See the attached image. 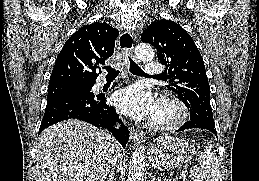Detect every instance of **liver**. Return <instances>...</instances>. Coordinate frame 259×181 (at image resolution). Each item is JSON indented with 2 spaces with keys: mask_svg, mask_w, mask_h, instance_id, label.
<instances>
[{
  "mask_svg": "<svg viewBox=\"0 0 259 181\" xmlns=\"http://www.w3.org/2000/svg\"><path fill=\"white\" fill-rule=\"evenodd\" d=\"M37 181H106L119 144L96 127L70 119L45 129L37 142Z\"/></svg>",
  "mask_w": 259,
  "mask_h": 181,
  "instance_id": "1",
  "label": "liver"
}]
</instances>
